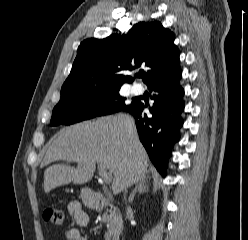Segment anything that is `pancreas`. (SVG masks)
Wrapping results in <instances>:
<instances>
[{"mask_svg":"<svg viewBox=\"0 0 248 240\" xmlns=\"http://www.w3.org/2000/svg\"><path fill=\"white\" fill-rule=\"evenodd\" d=\"M102 221L107 223V232L105 233V240H115L120 232L121 219L116 209H107L102 215Z\"/></svg>","mask_w":248,"mask_h":240,"instance_id":"1","label":"pancreas"}]
</instances>
